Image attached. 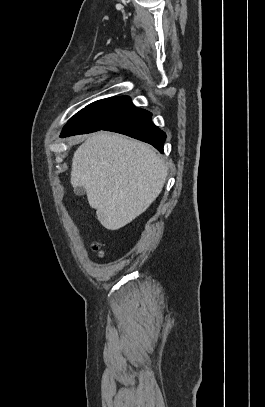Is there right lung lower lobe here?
I'll return each mask as SVG.
<instances>
[{"label": "right lung lower lobe", "instance_id": "1", "mask_svg": "<svg viewBox=\"0 0 265 407\" xmlns=\"http://www.w3.org/2000/svg\"><path fill=\"white\" fill-rule=\"evenodd\" d=\"M152 114L144 109H136L103 130L118 132L153 145L163 152L166 134L151 122ZM71 135H61L67 137Z\"/></svg>", "mask_w": 265, "mask_h": 407}]
</instances>
